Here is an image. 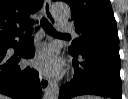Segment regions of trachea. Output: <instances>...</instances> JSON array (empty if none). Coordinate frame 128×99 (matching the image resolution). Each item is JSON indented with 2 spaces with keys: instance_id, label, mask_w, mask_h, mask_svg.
<instances>
[{
  "instance_id": "trachea-1",
  "label": "trachea",
  "mask_w": 128,
  "mask_h": 99,
  "mask_svg": "<svg viewBox=\"0 0 128 99\" xmlns=\"http://www.w3.org/2000/svg\"><path fill=\"white\" fill-rule=\"evenodd\" d=\"M40 24L42 25L43 29L45 30L46 33L50 34V35H67V34H62L57 32L53 26L51 25V23L46 19V18H42L40 21ZM33 32V29L30 28L26 31L25 33V37H29L31 36Z\"/></svg>"
}]
</instances>
